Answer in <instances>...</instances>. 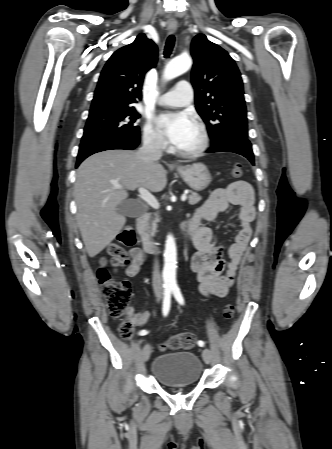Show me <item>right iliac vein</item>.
<instances>
[{
	"label": "right iliac vein",
	"instance_id": "right-iliac-vein-1",
	"mask_svg": "<svg viewBox=\"0 0 332 449\" xmlns=\"http://www.w3.org/2000/svg\"><path fill=\"white\" fill-rule=\"evenodd\" d=\"M151 354V347L149 344H146L142 349V358L144 361H147Z\"/></svg>",
	"mask_w": 332,
	"mask_h": 449
}]
</instances>
